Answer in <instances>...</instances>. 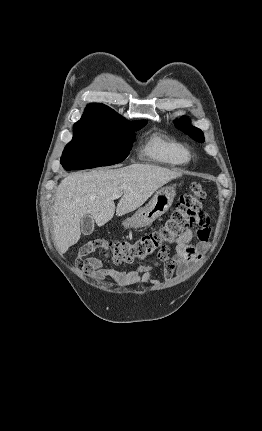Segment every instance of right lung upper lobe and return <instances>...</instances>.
<instances>
[{
  "label": "right lung upper lobe",
  "instance_id": "1",
  "mask_svg": "<svg viewBox=\"0 0 262 431\" xmlns=\"http://www.w3.org/2000/svg\"><path fill=\"white\" fill-rule=\"evenodd\" d=\"M124 119L108 106L100 103L89 104L81 119L75 124H103Z\"/></svg>",
  "mask_w": 262,
  "mask_h": 431
}]
</instances>
